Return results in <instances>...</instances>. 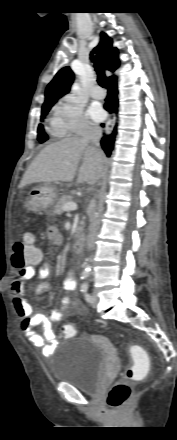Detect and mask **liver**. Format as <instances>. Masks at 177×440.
I'll use <instances>...</instances> for the list:
<instances>
[{
	"label": "liver",
	"instance_id": "1",
	"mask_svg": "<svg viewBox=\"0 0 177 440\" xmlns=\"http://www.w3.org/2000/svg\"><path fill=\"white\" fill-rule=\"evenodd\" d=\"M82 164L78 169V164ZM104 153L80 138H66L45 147L25 172L20 187L32 183L77 182L94 185L101 177Z\"/></svg>",
	"mask_w": 177,
	"mask_h": 440
}]
</instances>
